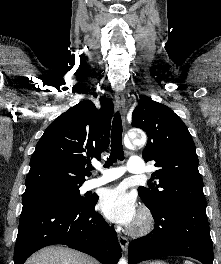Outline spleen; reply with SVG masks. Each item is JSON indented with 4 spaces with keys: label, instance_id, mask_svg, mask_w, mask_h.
I'll use <instances>...</instances> for the list:
<instances>
[{
    "label": "spleen",
    "instance_id": "1",
    "mask_svg": "<svg viewBox=\"0 0 221 264\" xmlns=\"http://www.w3.org/2000/svg\"><path fill=\"white\" fill-rule=\"evenodd\" d=\"M184 264H194V263L191 262V261L186 260V261L184 262Z\"/></svg>",
    "mask_w": 221,
    "mask_h": 264
}]
</instances>
